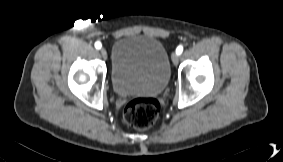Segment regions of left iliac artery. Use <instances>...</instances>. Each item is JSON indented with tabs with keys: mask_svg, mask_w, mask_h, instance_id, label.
I'll list each match as a JSON object with an SVG mask.
<instances>
[{
	"mask_svg": "<svg viewBox=\"0 0 283 162\" xmlns=\"http://www.w3.org/2000/svg\"><path fill=\"white\" fill-rule=\"evenodd\" d=\"M183 52V46L179 45L176 49V53L180 55Z\"/></svg>",
	"mask_w": 283,
	"mask_h": 162,
	"instance_id": "left-iliac-artery-1",
	"label": "left iliac artery"
}]
</instances>
